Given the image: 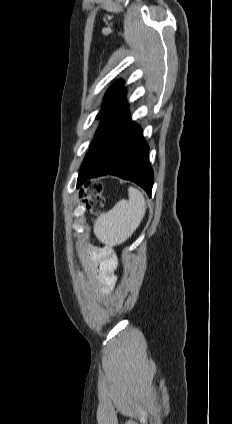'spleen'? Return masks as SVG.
Here are the masks:
<instances>
[{
    "label": "spleen",
    "mask_w": 232,
    "mask_h": 424,
    "mask_svg": "<svg viewBox=\"0 0 232 424\" xmlns=\"http://www.w3.org/2000/svg\"><path fill=\"white\" fill-rule=\"evenodd\" d=\"M128 200L122 199L97 219L94 233L106 247L125 242L140 225L146 211L143 194L134 187L128 188Z\"/></svg>",
    "instance_id": "1"
}]
</instances>
